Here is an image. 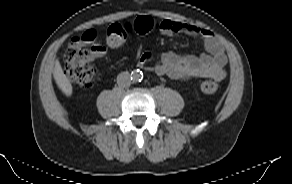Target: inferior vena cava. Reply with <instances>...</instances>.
Here are the masks:
<instances>
[{"instance_id": "inferior-vena-cava-1", "label": "inferior vena cava", "mask_w": 292, "mask_h": 184, "mask_svg": "<svg viewBox=\"0 0 292 184\" xmlns=\"http://www.w3.org/2000/svg\"><path fill=\"white\" fill-rule=\"evenodd\" d=\"M117 83L120 87H128L131 85V76L129 72H122L117 76Z\"/></svg>"}]
</instances>
